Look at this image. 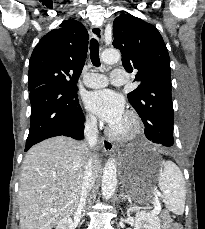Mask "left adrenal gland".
I'll use <instances>...</instances> for the list:
<instances>
[{
  "label": "left adrenal gland",
  "instance_id": "left-adrenal-gland-1",
  "mask_svg": "<svg viewBox=\"0 0 205 229\" xmlns=\"http://www.w3.org/2000/svg\"><path fill=\"white\" fill-rule=\"evenodd\" d=\"M125 198H126V195L124 194L123 189H121L120 194H119V199L120 200H125Z\"/></svg>",
  "mask_w": 205,
  "mask_h": 229
}]
</instances>
